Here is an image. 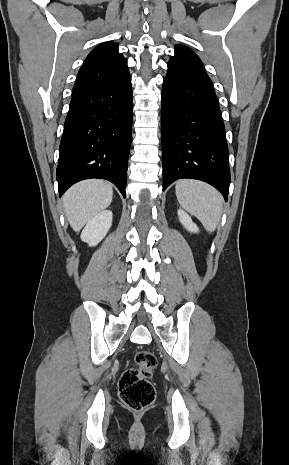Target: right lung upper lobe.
I'll list each match as a JSON object with an SVG mask.
<instances>
[{
    "mask_svg": "<svg viewBox=\"0 0 289 465\" xmlns=\"http://www.w3.org/2000/svg\"><path fill=\"white\" fill-rule=\"evenodd\" d=\"M129 75L127 61L118 52V44L97 46L80 68L72 97L112 87Z\"/></svg>",
    "mask_w": 289,
    "mask_h": 465,
    "instance_id": "1",
    "label": "right lung upper lobe"
}]
</instances>
